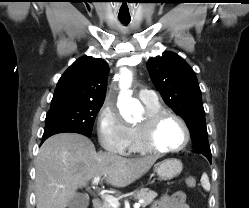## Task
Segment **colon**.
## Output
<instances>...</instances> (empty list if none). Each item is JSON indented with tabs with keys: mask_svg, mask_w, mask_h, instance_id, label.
Segmentation results:
<instances>
[{
	"mask_svg": "<svg viewBox=\"0 0 249 208\" xmlns=\"http://www.w3.org/2000/svg\"><path fill=\"white\" fill-rule=\"evenodd\" d=\"M186 185L189 188H194L196 185V179L194 177H188L186 179Z\"/></svg>",
	"mask_w": 249,
	"mask_h": 208,
	"instance_id": "obj_1",
	"label": "colon"
}]
</instances>
